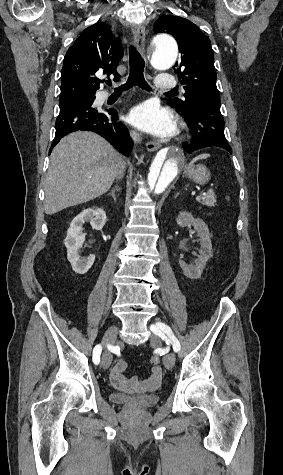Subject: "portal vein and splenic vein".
Listing matches in <instances>:
<instances>
[{
    "mask_svg": "<svg viewBox=\"0 0 283 475\" xmlns=\"http://www.w3.org/2000/svg\"><path fill=\"white\" fill-rule=\"evenodd\" d=\"M200 196H201L200 194H197V195L195 196V199H196V200H199V199H200Z\"/></svg>",
    "mask_w": 283,
    "mask_h": 475,
    "instance_id": "portal-vein-and-splenic-vein-1",
    "label": "portal vein and splenic vein"
}]
</instances>
